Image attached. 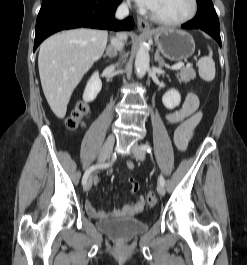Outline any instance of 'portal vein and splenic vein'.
I'll list each match as a JSON object with an SVG mask.
<instances>
[{
    "label": "portal vein and splenic vein",
    "mask_w": 247,
    "mask_h": 265,
    "mask_svg": "<svg viewBox=\"0 0 247 265\" xmlns=\"http://www.w3.org/2000/svg\"><path fill=\"white\" fill-rule=\"evenodd\" d=\"M183 66H184L183 63H178V64L173 65V66L171 67V69H173V70H179V69H181ZM186 67H190V64H187Z\"/></svg>",
    "instance_id": "obj_1"
}]
</instances>
